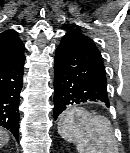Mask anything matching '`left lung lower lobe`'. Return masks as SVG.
<instances>
[{
    "instance_id": "obj_1",
    "label": "left lung lower lobe",
    "mask_w": 130,
    "mask_h": 153,
    "mask_svg": "<svg viewBox=\"0 0 130 153\" xmlns=\"http://www.w3.org/2000/svg\"><path fill=\"white\" fill-rule=\"evenodd\" d=\"M54 69L55 120L75 103L102 101L109 107L102 56L89 37L68 31L56 49Z\"/></svg>"
}]
</instances>
